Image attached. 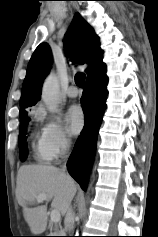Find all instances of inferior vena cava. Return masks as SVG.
Instances as JSON below:
<instances>
[{
  "mask_svg": "<svg viewBox=\"0 0 158 237\" xmlns=\"http://www.w3.org/2000/svg\"><path fill=\"white\" fill-rule=\"evenodd\" d=\"M70 147V140L65 139L64 140V144H63V148L64 150H68ZM63 171L66 170V162L64 163V165L62 166ZM74 218H75V213L73 211V208L71 206H69L67 213H66V217H65V228L67 231L71 232L74 229Z\"/></svg>",
  "mask_w": 158,
  "mask_h": 237,
  "instance_id": "1",
  "label": "inferior vena cava"
}]
</instances>
